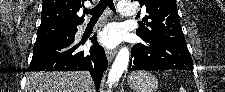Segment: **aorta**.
Masks as SVG:
<instances>
[{"label": "aorta", "mask_w": 225, "mask_h": 92, "mask_svg": "<svg viewBox=\"0 0 225 92\" xmlns=\"http://www.w3.org/2000/svg\"><path fill=\"white\" fill-rule=\"evenodd\" d=\"M129 57L130 53L128 48L126 47L121 48L108 74L109 86H112L114 83L119 81L123 72L128 67Z\"/></svg>", "instance_id": "aorta-1"}]
</instances>
